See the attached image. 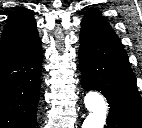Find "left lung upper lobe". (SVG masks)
Wrapping results in <instances>:
<instances>
[{
	"label": "left lung upper lobe",
	"mask_w": 142,
	"mask_h": 128,
	"mask_svg": "<svg viewBox=\"0 0 142 128\" xmlns=\"http://www.w3.org/2000/svg\"><path fill=\"white\" fill-rule=\"evenodd\" d=\"M82 22L107 35L117 36L111 26L100 16V12L90 9L83 17Z\"/></svg>",
	"instance_id": "obj_1"
}]
</instances>
